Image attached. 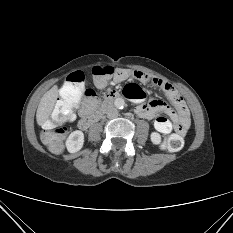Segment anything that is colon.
Segmentation results:
<instances>
[{"label":"colon","mask_w":233,"mask_h":233,"mask_svg":"<svg viewBox=\"0 0 233 233\" xmlns=\"http://www.w3.org/2000/svg\"><path fill=\"white\" fill-rule=\"evenodd\" d=\"M113 74L114 68L111 66L99 65L92 69L93 81L97 87H104ZM81 95L93 103L96 102V92L85 87L83 72L75 71L66 78L55 108L43 125L42 141L54 153L60 152L64 147L68 131L65 123L72 118L73 109L79 103ZM183 145L182 137L177 134L166 137L162 142V147L172 152L179 151Z\"/></svg>","instance_id":"1"}]
</instances>
